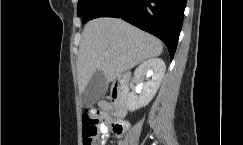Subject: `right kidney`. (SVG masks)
I'll list each match as a JSON object with an SVG mask.
<instances>
[{
    "label": "right kidney",
    "mask_w": 243,
    "mask_h": 145,
    "mask_svg": "<svg viewBox=\"0 0 243 145\" xmlns=\"http://www.w3.org/2000/svg\"><path fill=\"white\" fill-rule=\"evenodd\" d=\"M166 70L165 63L160 58H150L140 64L134 72L135 79L142 82V91L139 96L134 92L129 93L127 107L129 111H135L148 103L155 96ZM150 78L144 81V76Z\"/></svg>",
    "instance_id": "obj_1"
}]
</instances>
